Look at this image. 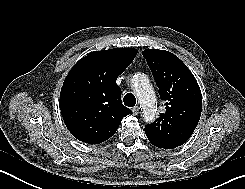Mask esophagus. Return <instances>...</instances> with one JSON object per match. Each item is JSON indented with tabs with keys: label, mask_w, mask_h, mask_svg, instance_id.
Returning a JSON list of instances; mask_svg holds the SVG:
<instances>
[{
	"label": "esophagus",
	"mask_w": 245,
	"mask_h": 189,
	"mask_svg": "<svg viewBox=\"0 0 245 189\" xmlns=\"http://www.w3.org/2000/svg\"><path fill=\"white\" fill-rule=\"evenodd\" d=\"M139 111H140V107H139V106H134V107L132 108V113H133L134 115H137V114L139 113Z\"/></svg>",
	"instance_id": "1"
}]
</instances>
